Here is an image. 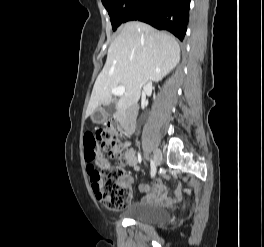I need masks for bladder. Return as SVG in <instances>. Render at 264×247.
Instances as JSON below:
<instances>
[{
	"label": "bladder",
	"instance_id": "31cf9c89",
	"mask_svg": "<svg viewBox=\"0 0 264 247\" xmlns=\"http://www.w3.org/2000/svg\"><path fill=\"white\" fill-rule=\"evenodd\" d=\"M126 216L137 222L159 226L170 221L171 212L161 206L137 202L128 208Z\"/></svg>",
	"mask_w": 264,
	"mask_h": 247
}]
</instances>
